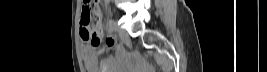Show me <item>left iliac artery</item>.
Here are the masks:
<instances>
[{
  "label": "left iliac artery",
  "instance_id": "1",
  "mask_svg": "<svg viewBox=\"0 0 267 72\" xmlns=\"http://www.w3.org/2000/svg\"><path fill=\"white\" fill-rule=\"evenodd\" d=\"M108 26H109L110 30H112V31L116 30V24H115L114 20L110 19Z\"/></svg>",
  "mask_w": 267,
  "mask_h": 72
}]
</instances>
